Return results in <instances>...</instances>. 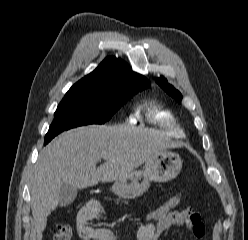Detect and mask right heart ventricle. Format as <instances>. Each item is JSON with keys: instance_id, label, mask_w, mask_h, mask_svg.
<instances>
[{"instance_id": "1", "label": "right heart ventricle", "mask_w": 248, "mask_h": 240, "mask_svg": "<svg viewBox=\"0 0 248 240\" xmlns=\"http://www.w3.org/2000/svg\"><path fill=\"white\" fill-rule=\"evenodd\" d=\"M148 120L158 126L166 129L170 134L176 137L184 135L181 128L176 124L175 117L168 109L152 106L148 109Z\"/></svg>"}]
</instances>
